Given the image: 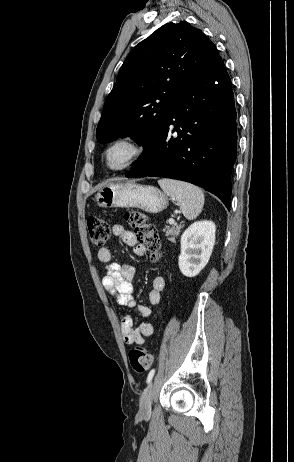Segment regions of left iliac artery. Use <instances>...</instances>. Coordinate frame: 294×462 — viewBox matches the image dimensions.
I'll list each match as a JSON object with an SVG mask.
<instances>
[{
	"label": "left iliac artery",
	"instance_id": "44dca946",
	"mask_svg": "<svg viewBox=\"0 0 294 462\" xmlns=\"http://www.w3.org/2000/svg\"><path fill=\"white\" fill-rule=\"evenodd\" d=\"M155 374V369H152L147 376V383L149 384Z\"/></svg>",
	"mask_w": 294,
	"mask_h": 462
}]
</instances>
